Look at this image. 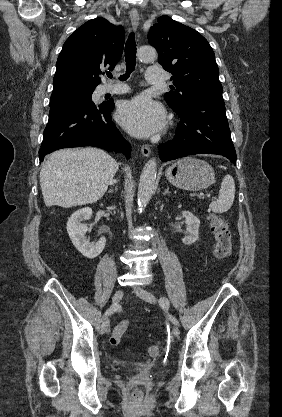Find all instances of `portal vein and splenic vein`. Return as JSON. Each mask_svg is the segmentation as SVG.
<instances>
[{"mask_svg": "<svg viewBox=\"0 0 282 417\" xmlns=\"http://www.w3.org/2000/svg\"><path fill=\"white\" fill-rule=\"evenodd\" d=\"M202 196L208 197L209 199L214 200V195L210 194L209 192H203Z\"/></svg>", "mask_w": 282, "mask_h": 417, "instance_id": "obj_1", "label": "portal vein and splenic vein"}]
</instances>
